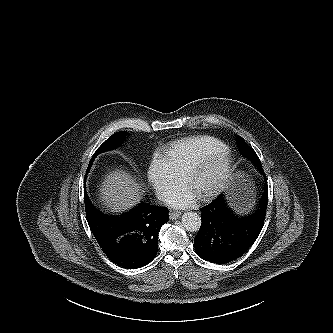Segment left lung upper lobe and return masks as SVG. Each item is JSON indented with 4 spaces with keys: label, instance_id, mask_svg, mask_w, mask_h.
Masks as SVG:
<instances>
[{
    "label": "left lung upper lobe",
    "instance_id": "obj_1",
    "mask_svg": "<svg viewBox=\"0 0 333 333\" xmlns=\"http://www.w3.org/2000/svg\"><path fill=\"white\" fill-rule=\"evenodd\" d=\"M237 145H238V148L240 149L242 155L244 157L252 160L254 162L255 166L257 167V169L259 170V172L262 173V171H263L262 164H261V161H260L259 157L257 156L256 152L246 144V142L244 141V139L242 137H238Z\"/></svg>",
    "mask_w": 333,
    "mask_h": 333
}]
</instances>
